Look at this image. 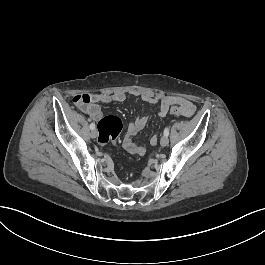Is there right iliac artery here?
Returning a JSON list of instances; mask_svg holds the SVG:
<instances>
[{
    "instance_id": "right-iliac-artery-1",
    "label": "right iliac artery",
    "mask_w": 265,
    "mask_h": 265,
    "mask_svg": "<svg viewBox=\"0 0 265 265\" xmlns=\"http://www.w3.org/2000/svg\"><path fill=\"white\" fill-rule=\"evenodd\" d=\"M90 129H91V130L95 129V124H94V123H91V124H90Z\"/></svg>"
}]
</instances>
